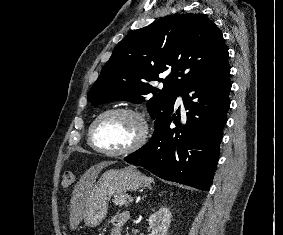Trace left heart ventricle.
<instances>
[{"label":"left heart ventricle","mask_w":283,"mask_h":235,"mask_svg":"<svg viewBox=\"0 0 283 235\" xmlns=\"http://www.w3.org/2000/svg\"><path fill=\"white\" fill-rule=\"evenodd\" d=\"M140 133L136 118L126 113L105 116L96 125L95 143L106 150L116 151L130 146Z\"/></svg>","instance_id":"left-heart-ventricle-1"}]
</instances>
